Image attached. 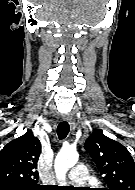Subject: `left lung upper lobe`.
<instances>
[{
	"label": "left lung upper lobe",
	"instance_id": "obj_1",
	"mask_svg": "<svg viewBox=\"0 0 135 190\" xmlns=\"http://www.w3.org/2000/svg\"><path fill=\"white\" fill-rule=\"evenodd\" d=\"M84 148L105 175L108 186L105 190H135V163L126 147L96 129L87 138Z\"/></svg>",
	"mask_w": 135,
	"mask_h": 190
}]
</instances>
